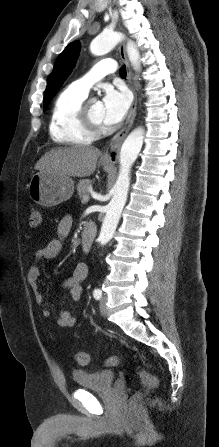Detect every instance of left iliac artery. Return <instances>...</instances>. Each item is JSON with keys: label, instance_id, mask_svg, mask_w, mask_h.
<instances>
[{"label": "left iliac artery", "instance_id": "1", "mask_svg": "<svg viewBox=\"0 0 219 447\" xmlns=\"http://www.w3.org/2000/svg\"><path fill=\"white\" fill-rule=\"evenodd\" d=\"M93 296L96 300H100L102 297V291L100 289H95L93 292Z\"/></svg>", "mask_w": 219, "mask_h": 447}]
</instances>
